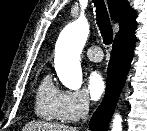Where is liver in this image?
Wrapping results in <instances>:
<instances>
[{
  "label": "liver",
  "instance_id": "6515ba94",
  "mask_svg": "<svg viewBox=\"0 0 147 131\" xmlns=\"http://www.w3.org/2000/svg\"><path fill=\"white\" fill-rule=\"evenodd\" d=\"M22 131H78L77 128L62 124H52L48 122H30L27 123Z\"/></svg>",
  "mask_w": 147,
  "mask_h": 131
}]
</instances>
